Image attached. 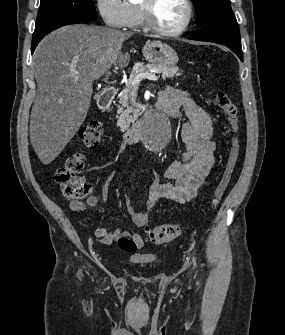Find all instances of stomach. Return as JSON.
Masks as SVG:
<instances>
[{
    "label": "stomach",
    "mask_w": 285,
    "mask_h": 335,
    "mask_svg": "<svg viewBox=\"0 0 285 335\" xmlns=\"http://www.w3.org/2000/svg\"><path fill=\"white\" fill-rule=\"evenodd\" d=\"M142 54L145 60L151 62V64H158V66H168V68H173L178 64V56L168 44H163L159 40H154V42H148L142 48Z\"/></svg>",
    "instance_id": "obj_1"
}]
</instances>
